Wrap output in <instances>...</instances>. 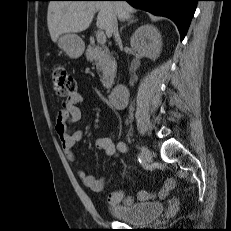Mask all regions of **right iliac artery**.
Instances as JSON below:
<instances>
[{
	"instance_id": "82829eb1",
	"label": "right iliac artery",
	"mask_w": 231,
	"mask_h": 231,
	"mask_svg": "<svg viewBox=\"0 0 231 231\" xmlns=\"http://www.w3.org/2000/svg\"><path fill=\"white\" fill-rule=\"evenodd\" d=\"M117 147H118V150L122 153H125L128 151V147L124 142H119Z\"/></svg>"
}]
</instances>
